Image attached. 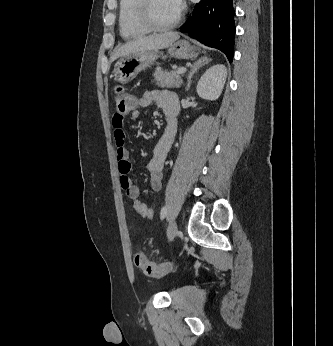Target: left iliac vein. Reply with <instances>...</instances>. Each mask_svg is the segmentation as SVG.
<instances>
[{"label": "left iliac vein", "mask_w": 333, "mask_h": 346, "mask_svg": "<svg viewBox=\"0 0 333 346\" xmlns=\"http://www.w3.org/2000/svg\"><path fill=\"white\" fill-rule=\"evenodd\" d=\"M177 231H178L177 223L175 220H173L169 223V226L167 229V237L170 241L176 236Z\"/></svg>", "instance_id": "left-iliac-vein-1"}]
</instances>
